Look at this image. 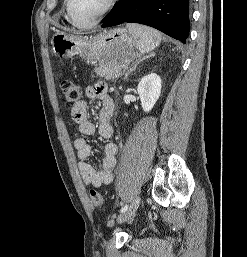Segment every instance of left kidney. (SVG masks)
<instances>
[{
    "mask_svg": "<svg viewBox=\"0 0 247 257\" xmlns=\"http://www.w3.org/2000/svg\"><path fill=\"white\" fill-rule=\"evenodd\" d=\"M161 87V78L155 73L148 74L141 79L137 92L144 112L152 110L160 97Z\"/></svg>",
    "mask_w": 247,
    "mask_h": 257,
    "instance_id": "left-kidney-1",
    "label": "left kidney"
}]
</instances>
